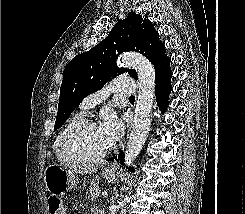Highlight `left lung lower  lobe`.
<instances>
[{"label": "left lung lower lobe", "mask_w": 245, "mask_h": 214, "mask_svg": "<svg viewBox=\"0 0 245 214\" xmlns=\"http://www.w3.org/2000/svg\"><path fill=\"white\" fill-rule=\"evenodd\" d=\"M172 77V71L170 69V66L166 67L156 78V99L158 106L160 107V110L162 112L166 111V108L168 106V99H169V93L172 90L170 79ZM124 153L120 152L118 156H114L109 158L107 161H119L122 165H124ZM130 171H134L133 168H129Z\"/></svg>", "instance_id": "left-lung-lower-lobe-1"}]
</instances>
